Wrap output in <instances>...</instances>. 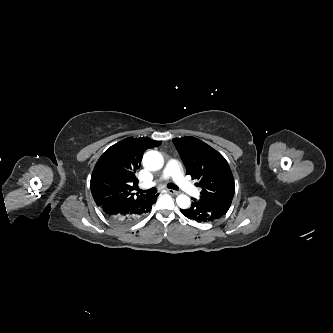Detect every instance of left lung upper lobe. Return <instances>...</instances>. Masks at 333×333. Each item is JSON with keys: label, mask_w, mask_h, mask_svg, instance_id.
Returning <instances> with one entry per match:
<instances>
[{"label": "left lung upper lobe", "mask_w": 333, "mask_h": 333, "mask_svg": "<svg viewBox=\"0 0 333 333\" xmlns=\"http://www.w3.org/2000/svg\"><path fill=\"white\" fill-rule=\"evenodd\" d=\"M173 143L179 152L187 174L198 179L201 199L230 206L235 184L231 169L225 158L215 149L194 137L174 138Z\"/></svg>", "instance_id": "obj_1"}]
</instances>
